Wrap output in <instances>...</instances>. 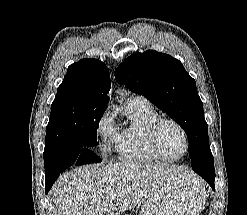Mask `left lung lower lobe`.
I'll return each mask as SVG.
<instances>
[{
  "instance_id": "0a47b994",
  "label": "left lung lower lobe",
  "mask_w": 247,
  "mask_h": 215,
  "mask_svg": "<svg viewBox=\"0 0 247 215\" xmlns=\"http://www.w3.org/2000/svg\"><path fill=\"white\" fill-rule=\"evenodd\" d=\"M192 169L204 178L210 184L212 189L215 190V168L213 156L210 151L203 153L199 162L192 164Z\"/></svg>"
}]
</instances>
